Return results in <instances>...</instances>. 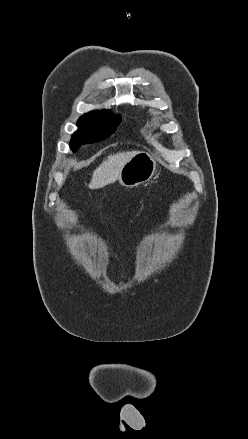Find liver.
Returning <instances> with one entry per match:
<instances>
[{"label": "liver", "mask_w": 248, "mask_h": 439, "mask_svg": "<svg viewBox=\"0 0 248 439\" xmlns=\"http://www.w3.org/2000/svg\"><path fill=\"white\" fill-rule=\"evenodd\" d=\"M135 153L136 151H126L109 155L107 159L93 171L89 188L99 189L114 182L118 178L123 166Z\"/></svg>", "instance_id": "obj_1"}]
</instances>
